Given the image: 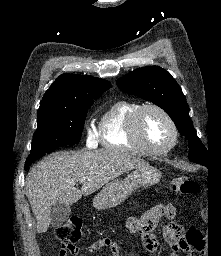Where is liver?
<instances>
[{
    "instance_id": "6515ba94",
    "label": "liver",
    "mask_w": 221,
    "mask_h": 256,
    "mask_svg": "<svg viewBox=\"0 0 221 256\" xmlns=\"http://www.w3.org/2000/svg\"><path fill=\"white\" fill-rule=\"evenodd\" d=\"M148 165L138 157L115 149L52 154L32 167L25 188L38 233L48 230L55 203L72 205L123 173ZM82 181L81 190L75 187Z\"/></svg>"
}]
</instances>
